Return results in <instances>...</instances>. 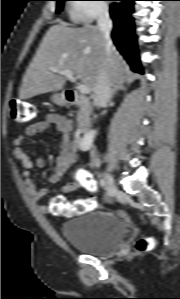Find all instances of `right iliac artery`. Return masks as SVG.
Here are the masks:
<instances>
[{"instance_id": "1", "label": "right iliac artery", "mask_w": 180, "mask_h": 299, "mask_svg": "<svg viewBox=\"0 0 180 299\" xmlns=\"http://www.w3.org/2000/svg\"><path fill=\"white\" fill-rule=\"evenodd\" d=\"M100 185L104 188L105 187V185H106V182H105V180L104 179H101V181H100Z\"/></svg>"}]
</instances>
